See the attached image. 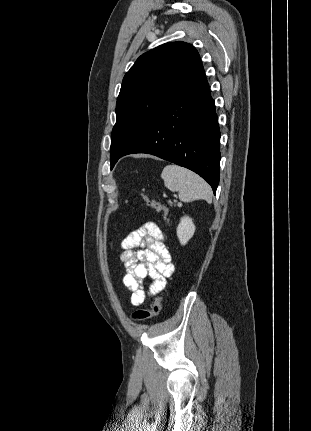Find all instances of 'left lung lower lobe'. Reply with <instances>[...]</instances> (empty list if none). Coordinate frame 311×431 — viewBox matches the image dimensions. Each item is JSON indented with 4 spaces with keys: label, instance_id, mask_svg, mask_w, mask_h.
Returning a JSON list of instances; mask_svg holds the SVG:
<instances>
[{
    "label": "left lung lower lobe",
    "instance_id": "0a47b994",
    "mask_svg": "<svg viewBox=\"0 0 311 431\" xmlns=\"http://www.w3.org/2000/svg\"><path fill=\"white\" fill-rule=\"evenodd\" d=\"M220 131L214 100L201 66L155 116L143 135L111 164L132 153H148L204 178L215 194L219 183Z\"/></svg>",
    "mask_w": 311,
    "mask_h": 431
}]
</instances>
